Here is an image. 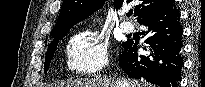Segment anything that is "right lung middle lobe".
<instances>
[{
    "label": "right lung middle lobe",
    "mask_w": 205,
    "mask_h": 87,
    "mask_svg": "<svg viewBox=\"0 0 205 87\" xmlns=\"http://www.w3.org/2000/svg\"><path fill=\"white\" fill-rule=\"evenodd\" d=\"M62 37H58V38L54 39L53 42L50 44V46L47 49L45 63H44V72L45 73H47V69L49 67V64L53 58L54 52L56 51L58 40Z\"/></svg>",
    "instance_id": "obj_1"
}]
</instances>
